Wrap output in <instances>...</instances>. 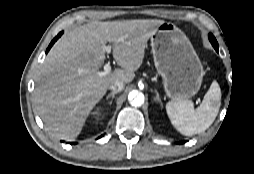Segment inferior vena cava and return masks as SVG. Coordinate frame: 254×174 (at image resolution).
Segmentation results:
<instances>
[{"label":"inferior vena cava","instance_id":"inferior-vena-cava-1","mask_svg":"<svg viewBox=\"0 0 254 174\" xmlns=\"http://www.w3.org/2000/svg\"><path fill=\"white\" fill-rule=\"evenodd\" d=\"M108 88L112 90L113 92H120L124 88V83L121 81H115L111 83Z\"/></svg>","mask_w":254,"mask_h":174}]
</instances>
